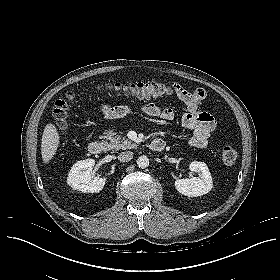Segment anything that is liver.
<instances>
[{
    "label": "liver",
    "instance_id": "obj_1",
    "mask_svg": "<svg viewBox=\"0 0 280 280\" xmlns=\"http://www.w3.org/2000/svg\"><path fill=\"white\" fill-rule=\"evenodd\" d=\"M59 140L60 137L57 128L52 123H48L44 128L41 140V155L45 164L49 163L56 154Z\"/></svg>",
    "mask_w": 280,
    "mask_h": 280
}]
</instances>
